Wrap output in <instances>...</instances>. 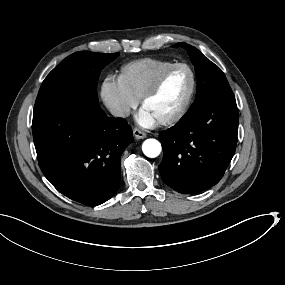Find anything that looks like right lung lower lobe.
Instances as JSON below:
<instances>
[{"label":"right lung lower lobe","instance_id":"obj_1","mask_svg":"<svg viewBox=\"0 0 285 285\" xmlns=\"http://www.w3.org/2000/svg\"><path fill=\"white\" fill-rule=\"evenodd\" d=\"M39 166L66 197L89 206L109 200L120 185V160L134 141L123 118H109L98 103L59 98L34 109Z\"/></svg>","mask_w":285,"mask_h":285}]
</instances>
